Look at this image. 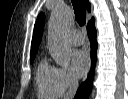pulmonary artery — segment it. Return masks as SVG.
<instances>
[{"label": "pulmonary artery", "mask_w": 128, "mask_h": 99, "mask_svg": "<svg viewBox=\"0 0 128 99\" xmlns=\"http://www.w3.org/2000/svg\"><path fill=\"white\" fill-rule=\"evenodd\" d=\"M70 41L74 45H82L85 42V36L82 32L74 29L70 32Z\"/></svg>", "instance_id": "obj_1"}]
</instances>
